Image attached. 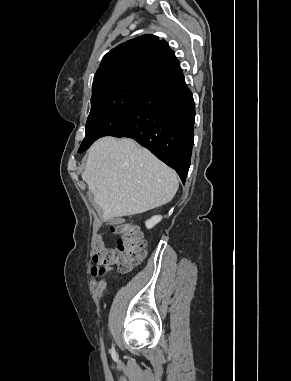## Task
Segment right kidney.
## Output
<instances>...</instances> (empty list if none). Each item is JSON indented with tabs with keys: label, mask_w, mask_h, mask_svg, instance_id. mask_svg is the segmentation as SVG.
<instances>
[{
	"label": "right kidney",
	"mask_w": 291,
	"mask_h": 381,
	"mask_svg": "<svg viewBox=\"0 0 291 381\" xmlns=\"http://www.w3.org/2000/svg\"><path fill=\"white\" fill-rule=\"evenodd\" d=\"M162 220V216L160 215H157V216H153L151 219L147 220L146 221V227L148 229H151L153 228L156 224H158L160 221Z\"/></svg>",
	"instance_id": "ca27d5eb"
}]
</instances>
